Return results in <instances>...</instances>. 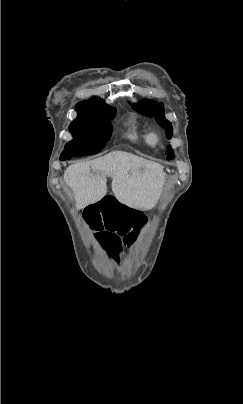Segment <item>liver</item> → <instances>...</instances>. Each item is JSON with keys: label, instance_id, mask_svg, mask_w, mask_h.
<instances>
[{"label": "liver", "instance_id": "liver-1", "mask_svg": "<svg viewBox=\"0 0 243 404\" xmlns=\"http://www.w3.org/2000/svg\"><path fill=\"white\" fill-rule=\"evenodd\" d=\"M106 176L112 178V192L129 208H155L164 184L163 166L129 152H110L106 156L72 164L64 172L67 186L75 194L77 210L95 204L107 194Z\"/></svg>", "mask_w": 243, "mask_h": 404}]
</instances>
